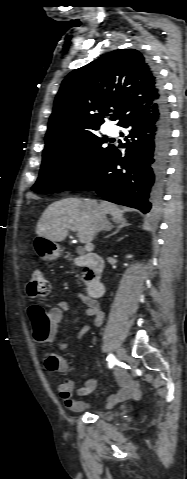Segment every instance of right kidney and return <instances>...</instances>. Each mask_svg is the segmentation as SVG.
Masks as SVG:
<instances>
[{
	"instance_id": "1",
	"label": "right kidney",
	"mask_w": 187,
	"mask_h": 479,
	"mask_svg": "<svg viewBox=\"0 0 187 479\" xmlns=\"http://www.w3.org/2000/svg\"><path fill=\"white\" fill-rule=\"evenodd\" d=\"M127 258H128V259H131V258H132V255H128Z\"/></svg>"
}]
</instances>
